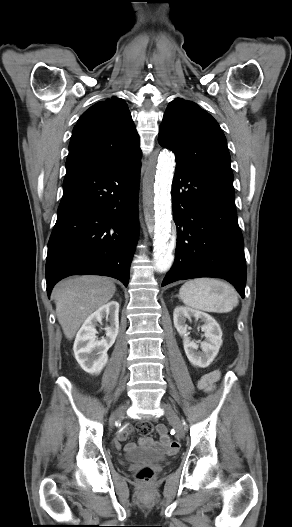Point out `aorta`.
Segmentation results:
<instances>
[{
	"instance_id": "obj_1",
	"label": "aorta",
	"mask_w": 292,
	"mask_h": 527,
	"mask_svg": "<svg viewBox=\"0 0 292 527\" xmlns=\"http://www.w3.org/2000/svg\"><path fill=\"white\" fill-rule=\"evenodd\" d=\"M171 152L160 154L157 164L148 167L143 192L146 204L154 206V260L157 270L167 271L173 262L171 243V184L175 166Z\"/></svg>"
}]
</instances>
